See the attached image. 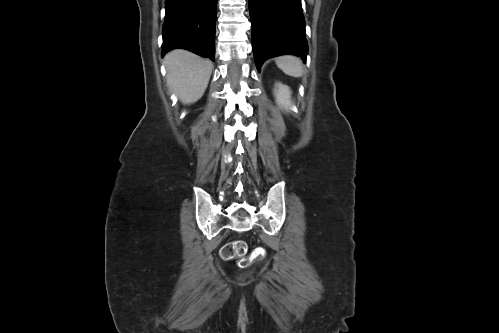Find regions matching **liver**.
Instances as JSON below:
<instances>
[{
    "label": "liver",
    "instance_id": "liver-1",
    "mask_svg": "<svg viewBox=\"0 0 499 333\" xmlns=\"http://www.w3.org/2000/svg\"><path fill=\"white\" fill-rule=\"evenodd\" d=\"M164 63L169 88L183 103H194L204 94L212 72V63L186 50L169 52Z\"/></svg>",
    "mask_w": 499,
    "mask_h": 333
}]
</instances>
